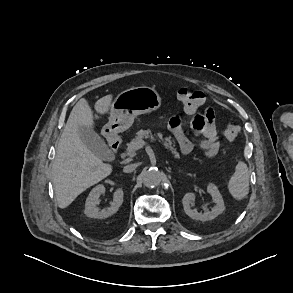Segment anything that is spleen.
Segmentation results:
<instances>
[{
  "label": "spleen",
  "instance_id": "3e777b00",
  "mask_svg": "<svg viewBox=\"0 0 293 293\" xmlns=\"http://www.w3.org/2000/svg\"><path fill=\"white\" fill-rule=\"evenodd\" d=\"M228 190L236 200L244 199L249 193V172L246 163L239 161L228 182Z\"/></svg>",
  "mask_w": 293,
  "mask_h": 293
}]
</instances>
